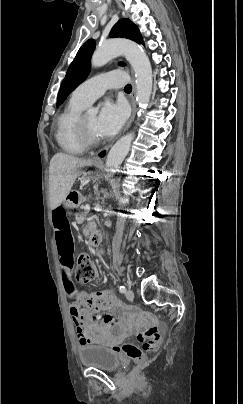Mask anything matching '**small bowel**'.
I'll return each instance as SVG.
<instances>
[{"mask_svg":"<svg viewBox=\"0 0 243 404\" xmlns=\"http://www.w3.org/2000/svg\"><path fill=\"white\" fill-rule=\"evenodd\" d=\"M54 235L59 254L63 284L70 298L77 292L73 280V238L65 207L59 205L51 214ZM70 315L76 325L79 344H116L124 336L127 326L122 321H115L111 314H94L82 311L72 303L69 308ZM117 326L119 333L112 334L111 328Z\"/></svg>","mask_w":243,"mask_h":404,"instance_id":"c3829d8e","label":"small bowel"}]
</instances>
